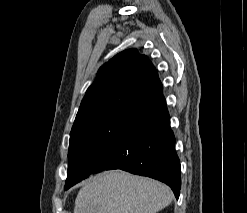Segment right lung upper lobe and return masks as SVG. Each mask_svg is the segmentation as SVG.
<instances>
[{"instance_id": "obj_1", "label": "right lung upper lobe", "mask_w": 247, "mask_h": 213, "mask_svg": "<svg viewBox=\"0 0 247 213\" xmlns=\"http://www.w3.org/2000/svg\"><path fill=\"white\" fill-rule=\"evenodd\" d=\"M160 90L158 73L148 58L136 49L125 50L99 69L81 102L73 127L111 107L132 103Z\"/></svg>"}]
</instances>
